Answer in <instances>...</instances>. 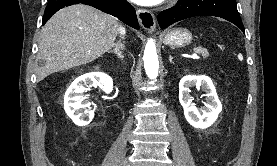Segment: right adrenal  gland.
Here are the masks:
<instances>
[{
	"mask_svg": "<svg viewBox=\"0 0 277 166\" xmlns=\"http://www.w3.org/2000/svg\"><path fill=\"white\" fill-rule=\"evenodd\" d=\"M121 50H123V45L119 44V43H116L115 46H114V49L111 50V51H108V53H114L115 55L118 56V58L123 60L124 59V55L122 54Z\"/></svg>",
	"mask_w": 277,
	"mask_h": 166,
	"instance_id": "1",
	"label": "right adrenal gland"
}]
</instances>
